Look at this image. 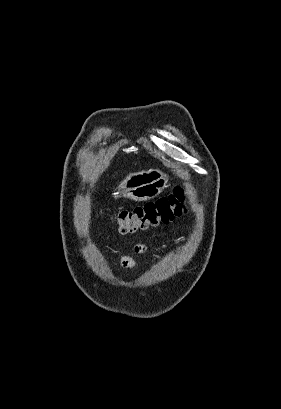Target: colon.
I'll list each match as a JSON object with an SVG mask.
<instances>
[{"instance_id": "obj_1", "label": "colon", "mask_w": 281, "mask_h": 409, "mask_svg": "<svg viewBox=\"0 0 281 409\" xmlns=\"http://www.w3.org/2000/svg\"><path fill=\"white\" fill-rule=\"evenodd\" d=\"M183 195V189L178 187L170 196L161 197L144 205L117 210L113 213V219L121 233H133L170 222L182 214Z\"/></svg>"}]
</instances>
